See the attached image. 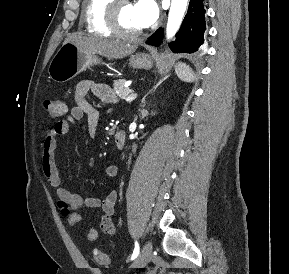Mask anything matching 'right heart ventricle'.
<instances>
[{"mask_svg":"<svg viewBox=\"0 0 289 274\" xmlns=\"http://www.w3.org/2000/svg\"><path fill=\"white\" fill-rule=\"evenodd\" d=\"M112 0H84L83 21L89 33L111 37L113 33L106 23V11Z\"/></svg>","mask_w":289,"mask_h":274,"instance_id":"1","label":"right heart ventricle"}]
</instances>
